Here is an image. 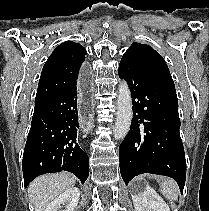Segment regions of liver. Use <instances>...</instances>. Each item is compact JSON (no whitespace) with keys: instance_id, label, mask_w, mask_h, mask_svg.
I'll list each match as a JSON object with an SVG mask.
<instances>
[{"instance_id":"obj_1","label":"liver","mask_w":209,"mask_h":211,"mask_svg":"<svg viewBox=\"0 0 209 211\" xmlns=\"http://www.w3.org/2000/svg\"><path fill=\"white\" fill-rule=\"evenodd\" d=\"M75 183L76 178L68 172L40 176L29 185L30 202L35 211H45L54 198L72 188Z\"/></svg>"}]
</instances>
